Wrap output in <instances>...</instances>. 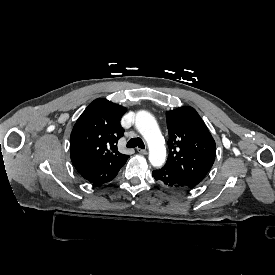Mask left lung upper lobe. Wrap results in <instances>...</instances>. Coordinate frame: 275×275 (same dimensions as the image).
Instances as JSON below:
<instances>
[{"mask_svg":"<svg viewBox=\"0 0 275 275\" xmlns=\"http://www.w3.org/2000/svg\"><path fill=\"white\" fill-rule=\"evenodd\" d=\"M169 156L164 167L194 188L212 167L216 145L196 110L189 106L166 112Z\"/></svg>","mask_w":275,"mask_h":275,"instance_id":"left-lung-upper-lobe-1","label":"left lung upper lobe"}]
</instances>
